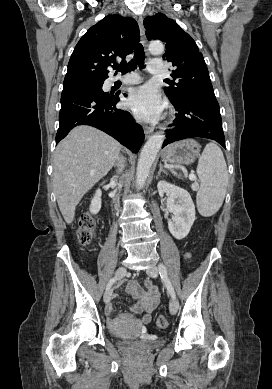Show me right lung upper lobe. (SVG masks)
<instances>
[{"label":"right lung upper lobe","mask_w":272,"mask_h":389,"mask_svg":"<svg viewBox=\"0 0 272 389\" xmlns=\"http://www.w3.org/2000/svg\"><path fill=\"white\" fill-rule=\"evenodd\" d=\"M139 27L132 18L108 15L92 26L77 43L68 63L63 86L104 81L107 67L125 60L139 42Z\"/></svg>","instance_id":"1"}]
</instances>
